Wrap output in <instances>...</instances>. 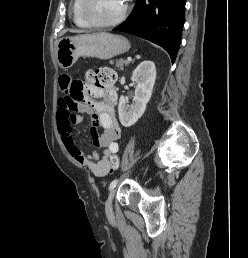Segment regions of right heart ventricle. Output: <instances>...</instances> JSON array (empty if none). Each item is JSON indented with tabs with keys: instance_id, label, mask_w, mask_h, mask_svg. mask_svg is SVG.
Masks as SVG:
<instances>
[{
	"instance_id": "right-heart-ventricle-1",
	"label": "right heart ventricle",
	"mask_w": 248,
	"mask_h": 258,
	"mask_svg": "<svg viewBox=\"0 0 248 258\" xmlns=\"http://www.w3.org/2000/svg\"><path fill=\"white\" fill-rule=\"evenodd\" d=\"M72 16L74 23L79 27H88L80 13V0H73L72 3Z\"/></svg>"
}]
</instances>
